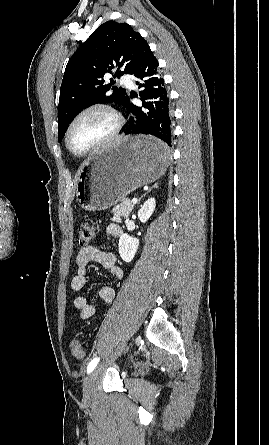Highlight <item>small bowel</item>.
Listing matches in <instances>:
<instances>
[{"label": "small bowel", "instance_id": "1", "mask_svg": "<svg viewBox=\"0 0 269 445\" xmlns=\"http://www.w3.org/2000/svg\"><path fill=\"white\" fill-rule=\"evenodd\" d=\"M106 234L111 238H119L122 235V229L117 223H109L105 228ZM91 262L100 264L112 275L121 278L122 269L117 264L116 255L113 252L102 251L95 246H86L79 250L75 258V274L71 280V289L74 292L81 291L86 282L88 266ZM115 296V291L110 286H103L98 291V297L109 305ZM74 307L80 312L82 320H88L97 315V309L94 304L88 302L84 296H76L73 301Z\"/></svg>", "mask_w": 269, "mask_h": 445}]
</instances>
